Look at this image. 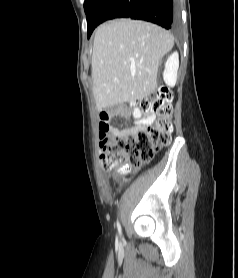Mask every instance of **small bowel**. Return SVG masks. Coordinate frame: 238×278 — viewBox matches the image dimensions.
<instances>
[{"label": "small bowel", "mask_w": 238, "mask_h": 278, "mask_svg": "<svg viewBox=\"0 0 238 278\" xmlns=\"http://www.w3.org/2000/svg\"><path fill=\"white\" fill-rule=\"evenodd\" d=\"M132 116L137 120L136 125L129 129V130H136L140 128H145L146 126L150 125L154 119L155 116L150 113H144L140 109L135 108L132 112ZM112 117V114L109 111L103 110L100 113V122L104 121L109 125V130L102 136H100L101 141L105 138H107L108 134L114 135L116 133L122 132V130L118 129L117 127H114L110 124V119ZM100 135V132H99Z\"/></svg>", "instance_id": "c3829d8e"}]
</instances>
